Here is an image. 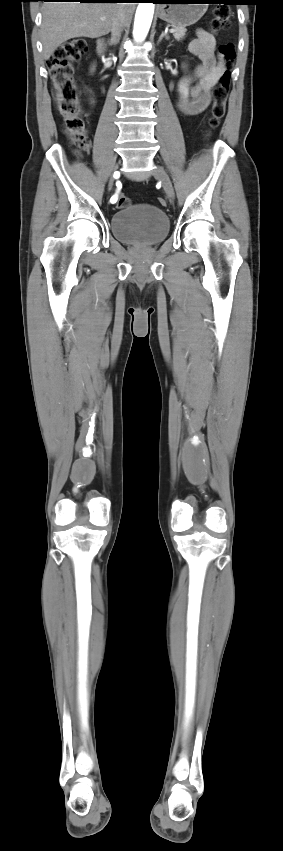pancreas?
Masks as SVG:
<instances>
[{"instance_id":"pancreas-1","label":"pancreas","mask_w":283,"mask_h":851,"mask_svg":"<svg viewBox=\"0 0 283 851\" xmlns=\"http://www.w3.org/2000/svg\"><path fill=\"white\" fill-rule=\"evenodd\" d=\"M172 29H174L173 36L177 41H180L184 38V36L186 34L185 27L172 25Z\"/></svg>"}]
</instances>
